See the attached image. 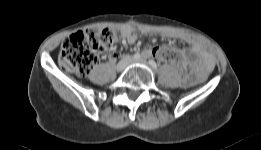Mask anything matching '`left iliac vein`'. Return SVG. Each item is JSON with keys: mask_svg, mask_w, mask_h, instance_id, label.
Instances as JSON below:
<instances>
[{"mask_svg": "<svg viewBox=\"0 0 261 150\" xmlns=\"http://www.w3.org/2000/svg\"><path fill=\"white\" fill-rule=\"evenodd\" d=\"M134 63H140V64H145L146 61L144 59H140V60H133Z\"/></svg>", "mask_w": 261, "mask_h": 150, "instance_id": "1", "label": "left iliac vein"}]
</instances>
